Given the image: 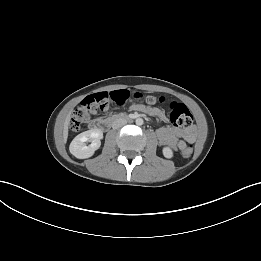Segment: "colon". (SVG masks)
Instances as JSON below:
<instances>
[{"instance_id":"1","label":"colon","mask_w":261,"mask_h":261,"mask_svg":"<svg viewBox=\"0 0 261 261\" xmlns=\"http://www.w3.org/2000/svg\"><path fill=\"white\" fill-rule=\"evenodd\" d=\"M136 97H141L140 94H135ZM130 98V93L127 90H115L112 92H100L86 97L81 105L74 111L71 121L70 130L72 132H78L82 130L85 124L90 119V116L97 112L105 111L110 103H114L118 106H123ZM147 106L152 107L158 103L165 102L163 97L154 95H148L144 98ZM169 117L171 122L179 127L188 128L193 123V116L189 109L179 102H172L169 106ZM193 143L185 144L181 148L182 155L189 157L193 153Z\"/></svg>"}]
</instances>
